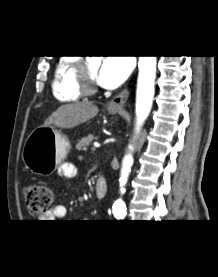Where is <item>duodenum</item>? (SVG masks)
I'll list each match as a JSON object with an SVG mask.
<instances>
[{"label": "duodenum", "instance_id": "duodenum-1", "mask_svg": "<svg viewBox=\"0 0 218 277\" xmlns=\"http://www.w3.org/2000/svg\"><path fill=\"white\" fill-rule=\"evenodd\" d=\"M94 188L97 198H104L108 189L107 181L104 178H98L95 182Z\"/></svg>", "mask_w": 218, "mask_h": 277}]
</instances>
